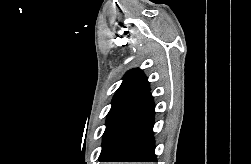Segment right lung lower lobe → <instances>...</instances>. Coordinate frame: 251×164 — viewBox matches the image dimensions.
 <instances>
[{"label": "right lung lower lobe", "instance_id": "1", "mask_svg": "<svg viewBox=\"0 0 251 164\" xmlns=\"http://www.w3.org/2000/svg\"><path fill=\"white\" fill-rule=\"evenodd\" d=\"M146 91L116 121L103 142L101 162H156L153 138L154 102Z\"/></svg>", "mask_w": 251, "mask_h": 164}]
</instances>
